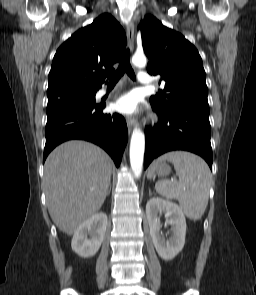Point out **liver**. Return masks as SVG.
Here are the masks:
<instances>
[{
  "mask_svg": "<svg viewBox=\"0 0 256 295\" xmlns=\"http://www.w3.org/2000/svg\"><path fill=\"white\" fill-rule=\"evenodd\" d=\"M113 163L98 146L72 140L55 148L44 166L49 214L55 225L72 235L104 203Z\"/></svg>",
  "mask_w": 256,
  "mask_h": 295,
  "instance_id": "1",
  "label": "liver"
}]
</instances>
